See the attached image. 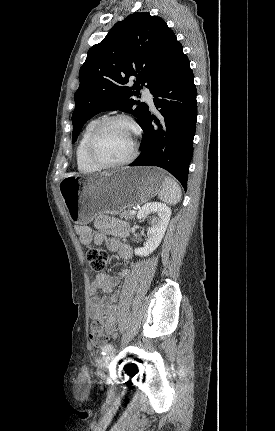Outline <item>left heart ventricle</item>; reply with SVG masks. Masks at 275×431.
Wrapping results in <instances>:
<instances>
[{"instance_id": "obj_1", "label": "left heart ventricle", "mask_w": 275, "mask_h": 431, "mask_svg": "<svg viewBox=\"0 0 275 431\" xmlns=\"http://www.w3.org/2000/svg\"><path fill=\"white\" fill-rule=\"evenodd\" d=\"M133 132L123 122L108 125L99 136L95 145V156L107 163H116L126 159L132 150Z\"/></svg>"}]
</instances>
